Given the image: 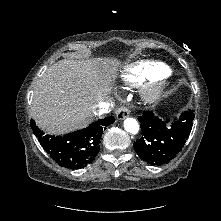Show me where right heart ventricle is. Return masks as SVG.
I'll use <instances>...</instances> for the list:
<instances>
[{"label": "right heart ventricle", "mask_w": 221, "mask_h": 221, "mask_svg": "<svg viewBox=\"0 0 221 221\" xmlns=\"http://www.w3.org/2000/svg\"><path fill=\"white\" fill-rule=\"evenodd\" d=\"M167 67L159 62H140L129 66L122 74L124 82L130 85H139L148 80L165 76Z\"/></svg>", "instance_id": "e07e8e85"}]
</instances>
